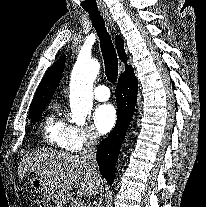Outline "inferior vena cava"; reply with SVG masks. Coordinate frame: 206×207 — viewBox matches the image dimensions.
<instances>
[{
    "label": "inferior vena cava",
    "mask_w": 206,
    "mask_h": 207,
    "mask_svg": "<svg viewBox=\"0 0 206 207\" xmlns=\"http://www.w3.org/2000/svg\"><path fill=\"white\" fill-rule=\"evenodd\" d=\"M98 143V134L94 131H91L84 143L80 157L88 161L89 169L93 172L95 177H99L98 165L96 161V145Z\"/></svg>",
    "instance_id": "1"
}]
</instances>
